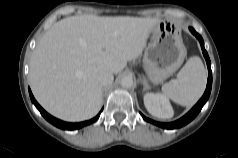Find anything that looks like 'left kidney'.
<instances>
[{
  "label": "left kidney",
  "instance_id": "obj_1",
  "mask_svg": "<svg viewBox=\"0 0 238 158\" xmlns=\"http://www.w3.org/2000/svg\"><path fill=\"white\" fill-rule=\"evenodd\" d=\"M144 105L147 111L157 118L168 119L174 114L168 98L159 93H146L144 95Z\"/></svg>",
  "mask_w": 238,
  "mask_h": 158
}]
</instances>
